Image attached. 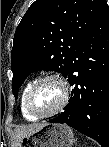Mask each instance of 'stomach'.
I'll use <instances>...</instances> for the list:
<instances>
[{
  "mask_svg": "<svg viewBox=\"0 0 109 147\" xmlns=\"http://www.w3.org/2000/svg\"><path fill=\"white\" fill-rule=\"evenodd\" d=\"M73 130L64 124H46L41 129L25 136L20 147H72Z\"/></svg>",
  "mask_w": 109,
  "mask_h": 147,
  "instance_id": "obj_1",
  "label": "stomach"
}]
</instances>
